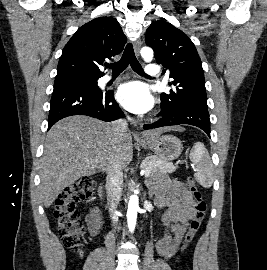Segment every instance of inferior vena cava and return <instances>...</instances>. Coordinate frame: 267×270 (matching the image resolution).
<instances>
[{"label":"inferior vena cava","mask_w":267,"mask_h":270,"mask_svg":"<svg viewBox=\"0 0 267 270\" xmlns=\"http://www.w3.org/2000/svg\"><path fill=\"white\" fill-rule=\"evenodd\" d=\"M115 140H118L127 132V122L124 119H118L112 123ZM123 186V172L120 165L113 161L106 177V193L110 212L113 215V225L115 229H120L117 226V216L115 211L121 199Z\"/></svg>","instance_id":"inferior-vena-cava-1"}]
</instances>
